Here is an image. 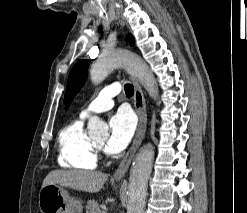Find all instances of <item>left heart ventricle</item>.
<instances>
[{"label": "left heart ventricle", "instance_id": "b2bd125f", "mask_svg": "<svg viewBox=\"0 0 247 213\" xmlns=\"http://www.w3.org/2000/svg\"><path fill=\"white\" fill-rule=\"evenodd\" d=\"M105 138H103V139H100V140H97V141H95V143L97 144V145H99V146H103L104 145V143H105Z\"/></svg>", "mask_w": 247, "mask_h": 213}]
</instances>
